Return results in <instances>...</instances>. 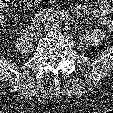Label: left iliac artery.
Wrapping results in <instances>:
<instances>
[{
  "label": "left iliac artery",
  "instance_id": "1",
  "mask_svg": "<svg viewBox=\"0 0 113 113\" xmlns=\"http://www.w3.org/2000/svg\"><path fill=\"white\" fill-rule=\"evenodd\" d=\"M63 20L67 23V24H71L72 20H71V17L69 15H65ZM54 27V26H53ZM56 28V27H54Z\"/></svg>",
  "mask_w": 113,
  "mask_h": 113
}]
</instances>
